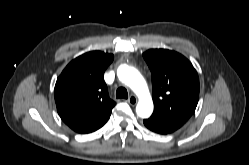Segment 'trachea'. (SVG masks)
<instances>
[{
    "label": "trachea",
    "instance_id": "trachea-1",
    "mask_svg": "<svg viewBox=\"0 0 249 165\" xmlns=\"http://www.w3.org/2000/svg\"><path fill=\"white\" fill-rule=\"evenodd\" d=\"M116 98L118 99H127L128 98V92L124 87H119L116 91Z\"/></svg>",
    "mask_w": 249,
    "mask_h": 165
}]
</instances>
